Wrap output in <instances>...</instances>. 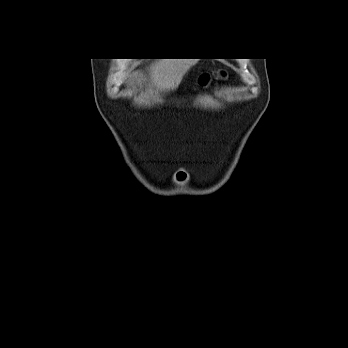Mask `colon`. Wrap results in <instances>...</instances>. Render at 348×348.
Listing matches in <instances>:
<instances>
[{"instance_id":"5ec220e1","label":"colon","mask_w":348,"mask_h":348,"mask_svg":"<svg viewBox=\"0 0 348 348\" xmlns=\"http://www.w3.org/2000/svg\"><path fill=\"white\" fill-rule=\"evenodd\" d=\"M210 80V76L205 74V75H202L201 78H200V83L201 84H205L207 83L208 81Z\"/></svg>"}]
</instances>
